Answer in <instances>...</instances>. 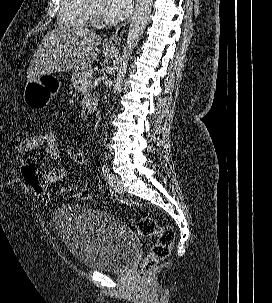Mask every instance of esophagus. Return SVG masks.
<instances>
[{
    "label": "esophagus",
    "mask_w": 272,
    "mask_h": 303,
    "mask_svg": "<svg viewBox=\"0 0 272 303\" xmlns=\"http://www.w3.org/2000/svg\"><path fill=\"white\" fill-rule=\"evenodd\" d=\"M128 19L127 21H125L124 23L120 24L115 31L113 32L112 36L105 42V45L107 47H117L121 41V38L123 36V34L126 31V27L129 23Z\"/></svg>",
    "instance_id": "34e87169"
}]
</instances>
